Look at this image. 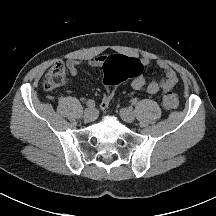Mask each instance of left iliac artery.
Wrapping results in <instances>:
<instances>
[{"label": "left iliac artery", "instance_id": "left-iliac-artery-1", "mask_svg": "<svg viewBox=\"0 0 216 216\" xmlns=\"http://www.w3.org/2000/svg\"><path fill=\"white\" fill-rule=\"evenodd\" d=\"M132 104H133V105H136V104H137V99H136V98L132 99Z\"/></svg>", "mask_w": 216, "mask_h": 216}]
</instances>
